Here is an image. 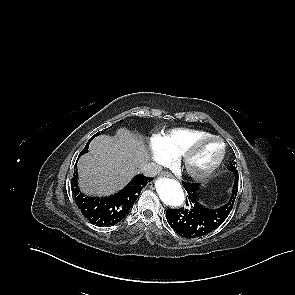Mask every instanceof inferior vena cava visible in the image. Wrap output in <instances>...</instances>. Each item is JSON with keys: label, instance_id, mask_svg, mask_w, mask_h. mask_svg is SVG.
Listing matches in <instances>:
<instances>
[{"label": "inferior vena cava", "instance_id": "602c4592", "mask_svg": "<svg viewBox=\"0 0 295 295\" xmlns=\"http://www.w3.org/2000/svg\"><path fill=\"white\" fill-rule=\"evenodd\" d=\"M162 170V167L156 163H146L141 169V173L147 177H154L156 176L160 171Z\"/></svg>", "mask_w": 295, "mask_h": 295}]
</instances>
